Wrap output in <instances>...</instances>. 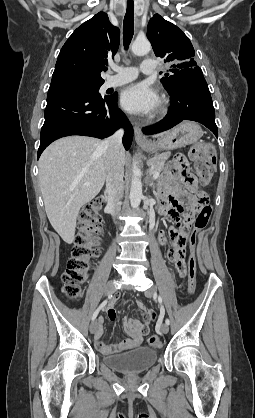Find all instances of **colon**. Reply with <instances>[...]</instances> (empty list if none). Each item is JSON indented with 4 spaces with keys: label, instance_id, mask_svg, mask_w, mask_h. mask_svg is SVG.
<instances>
[{
    "label": "colon",
    "instance_id": "colon-1",
    "mask_svg": "<svg viewBox=\"0 0 255 418\" xmlns=\"http://www.w3.org/2000/svg\"><path fill=\"white\" fill-rule=\"evenodd\" d=\"M190 159L194 164L197 177L201 184L210 183L215 165L216 151L209 143H197L189 153ZM201 205L195 219H186L179 228H192L193 231L206 226L212 208L208 203L205 194L198 196ZM103 205L101 198H96L87 203L81 210L79 216L80 232L72 250L71 257L67 262V268L62 275L63 291L70 299H78L81 296L82 284L87 278L92 260L100 254V249L95 242V235L99 231L101 215L100 210ZM196 235L190 234L188 237L189 254L186 265L188 291L193 294L196 289ZM152 347L159 348L161 341L158 336L152 335L148 339Z\"/></svg>",
    "mask_w": 255,
    "mask_h": 418
}]
</instances>
